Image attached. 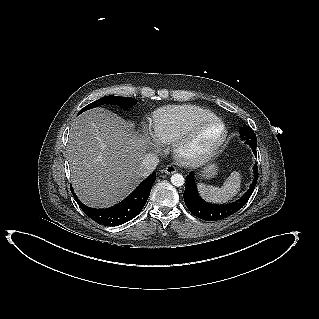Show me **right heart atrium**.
<instances>
[{"mask_svg":"<svg viewBox=\"0 0 319 319\" xmlns=\"http://www.w3.org/2000/svg\"><path fill=\"white\" fill-rule=\"evenodd\" d=\"M143 135L145 140L151 143L155 148H158L160 146V141L157 140L156 137H154L148 130H144Z\"/></svg>","mask_w":319,"mask_h":319,"instance_id":"d8ad5b80","label":"right heart atrium"}]
</instances>
